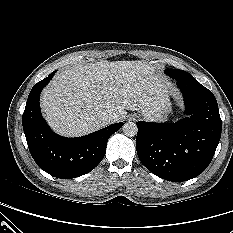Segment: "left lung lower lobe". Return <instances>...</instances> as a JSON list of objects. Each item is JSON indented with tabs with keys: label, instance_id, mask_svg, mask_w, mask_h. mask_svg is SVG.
I'll return each mask as SVG.
<instances>
[{
	"label": "left lung lower lobe",
	"instance_id": "1",
	"mask_svg": "<svg viewBox=\"0 0 233 233\" xmlns=\"http://www.w3.org/2000/svg\"><path fill=\"white\" fill-rule=\"evenodd\" d=\"M189 115L176 123L137 122L136 149L153 174L168 181H187L211 162L222 122L213 93L196 79L177 81Z\"/></svg>",
	"mask_w": 233,
	"mask_h": 233
}]
</instances>
